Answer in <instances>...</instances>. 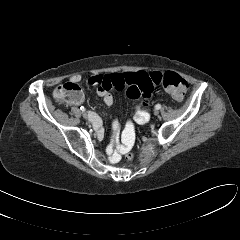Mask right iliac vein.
<instances>
[{
	"label": "right iliac vein",
	"instance_id": "obj_1",
	"mask_svg": "<svg viewBox=\"0 0 240 240\" xmlns=\"http://www.w3.org/2000/svg\"><path fill=\"white\" fill-rule=\"evenodd\" d=\"M82 115L85 119H88V114L85 111L82 113Z\"/></svg>",
	"mask_w": 240,
	"mask_h": 240
}]
</instances>
